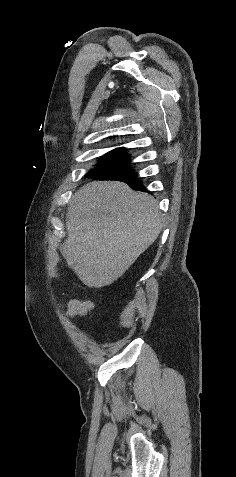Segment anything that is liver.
<instances>
[{
	"label": "liver",
	"mask_w": 236,
	"mask_h": 477,
	"mask_svg": "<svg viewBox=\"0 0 236 477\" xmlns=\"http://www.w3.org/2000/svg\"><path fill=\"white\" fill-rule=\"evenodd\" d=\"M60 247L67 265L88 287L121 277L159 236L161 213L154 198L118 181L91 182L73 196Z\"/></svg>",
	"instance_id": "6515ba94"
}]
</instances>
